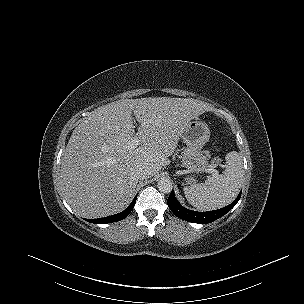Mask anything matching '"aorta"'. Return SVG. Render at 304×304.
Here are the masks:
<instances>
[{
	"mask_svg": "<svg viewBox=\"0 0 304 304\" xmlns=\"http://www.w3.org/2000/svg\"><path fill=\"white\" fill-rule=\"evenodd\" d=\"M158 189L163 193H170L172 191L173 185L170 179L166 177H162L158 181Z\"/></svg>",
	"mask_w": 304,
	"mask_h": 304,
	"instance_id": "obj_1",
	"label": "aorta"
}]
</instances>
